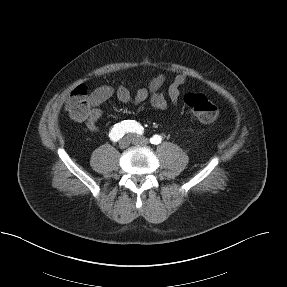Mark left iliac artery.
<instances>
[{"instance_id":"left-iliac-artery-1","label":"left iliac artery","mask_w":287,"mask_h":287,"mask_svg":"<svg viewBox=\"0 0 287 287\" xmlns=\"http://www.w3.org/2000/svg\"><path fill=\"white\" fill-rule=\"evenodd\" d=\"M135 132L138 134L139 132V127L138 125H135ZM162 141V138L160 135H154L152 138H150L151 144L157 145L160 144Z\"/></svg>"}]
</instances>
